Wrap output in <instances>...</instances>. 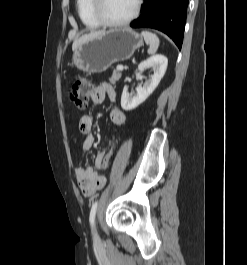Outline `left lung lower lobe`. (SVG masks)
<instances>
[{
    "label": "left lung lower lobe",
    "instance_id": "1",
    "mask_svg": "<svg viewBox=\"0 0 247 265\" xmlns=\"http://www.w3.org/2000/svg\"><path fill=\"white\" fill-rule=\"evenodd\" d=\"M189 0H144L142 14L131 27H149L167 34L181 49Z\"/></svg>",
    "mask_w": 247,
    "mask_h": 265
}]
</instances>
